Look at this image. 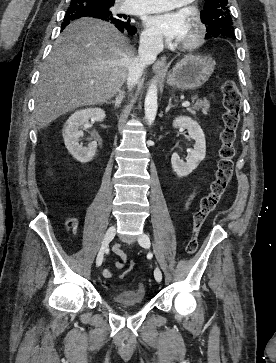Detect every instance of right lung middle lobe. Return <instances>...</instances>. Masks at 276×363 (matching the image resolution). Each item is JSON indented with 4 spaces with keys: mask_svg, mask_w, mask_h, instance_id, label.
Returning <instances> with one entry per match:
<instances>
[{
    "mask_svg": "<svg viewBox=\"0 0 276 363\" xmlns=\"http://www.w3.org/2000/svg\"><path fill=\"white\" fill-rule=\"evenodd\" d=\"M113 5V3H106L98 0H72L67 11L72 12L76 9H86L98 14L103 20L118 19L111 11ZM118 17L122 16L118 15Z\"/></svg>",
    "mask_w": 276,
    "mask_h": 363,
    "instance_id": "obj_1",
    "label": "right lung middle lobe"
}]
</instances>
